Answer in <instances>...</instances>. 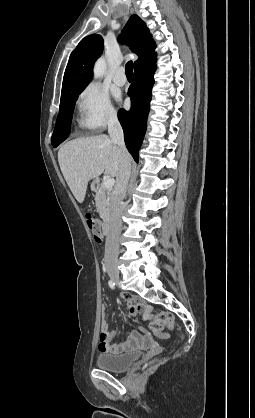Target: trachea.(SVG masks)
Wrapping results in <instances>:
<instances>
[{
	"label": "trachea",
	"mask_w": 255,
	"mask_h": 418,
	"mask_svg": "<svg viewBox=\"0 0 255 418\" xmlns=\"http://www.w3.org/2000/svg\"><path fill=\"white\" fill-rule=\"evenodd\" d=\"M125 73H126V76H132L133 74V62L132 61L127 62L125 66Z\"/></svg>",
	"instance_id": "obj_1"
}]
</instances>
